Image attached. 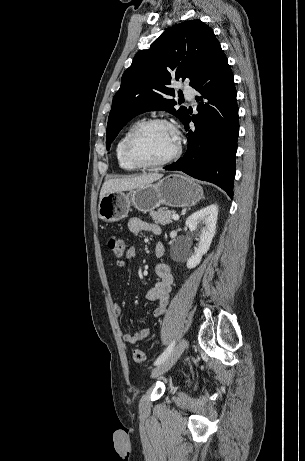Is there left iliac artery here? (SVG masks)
Instances as JSON below:
<instances>
[{"label":"left iliac artery","mask_w":305,"mask_h":461,"mask_svg":"<svg viewBox=\"0 0 305 461\" xmlns=\"http://www.w3.org/2000/svg\"><path fill=\"white\" fill-rule=\"evenodd\" d=\"M175 346V341H173L167 348L166 350L156 359V361L154 362V365H159L161 364L168 356L169 354L171 353V351L173 350Z\"/></svg>","instance_id":"1"}]
</instances>
